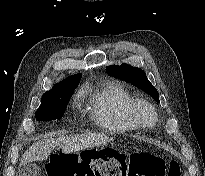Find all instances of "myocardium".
<instances>
[{"label": "myocardium", "mask_w": 205, "mask_h": 176, "mask_svg": "<svg viewBox=\"0 0 205 176\" xmlns=\"http://www.w3.org/2000/svg\"><path fill=\"white\" fill-rule=\"evenodd\" d=\"M130 113L137 126L142 128H151L156 125L158 121V115L154 107L150 103L142 99L135 100L133 102ZM144 114L151 115L153 118L152 121H145L143 118Z\"/></svg>", "instance_id": "1"}]
</instances>
